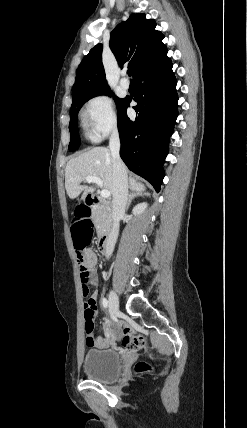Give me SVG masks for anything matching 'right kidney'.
<instances>
[{"label":"right kidney","mask_w":247,"mask_h":428,"mask_svg":"<svg viewBox=\"0 0 247 428\" xmlns=\"http://www.w3.org/2000/svg\"><path fill=\"white\" fill-rule=\"evenodd\" d=\"M147 203H139V204H137L134 208H133V210H132V213L134 214V215H140V214H142L144 211H145V209L147 208Z\"/></svg>","instance_id":"obj_1"}]
</instances>
